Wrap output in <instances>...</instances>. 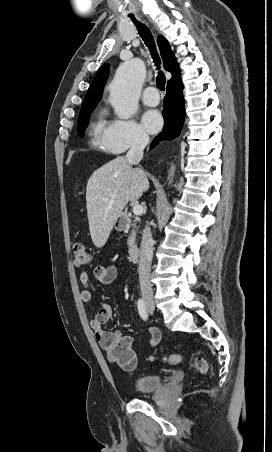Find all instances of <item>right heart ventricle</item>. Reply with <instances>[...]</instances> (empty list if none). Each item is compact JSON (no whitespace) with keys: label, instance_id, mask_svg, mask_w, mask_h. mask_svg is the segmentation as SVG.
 <instances>
[{"label":"right heart ventricle","instance_id":"obj_1","mask_svg":"<svg viewBox=\"0 0 272 452\" xmlns=\"http://www.w3.org/2000/svg\"><path fill=\"white\" fill-rule=\"evenodd\" d=\"M110 124L105 120L104 115L101 114L94 122L91 128L92 144L94 146L107 149L106 137L109 131Z\"/></svg>","mask_w":272,"mask_h":452}]
</instances>
